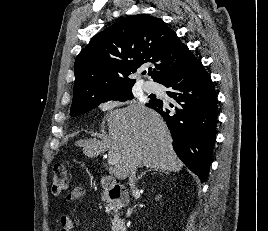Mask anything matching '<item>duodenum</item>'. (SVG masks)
Listing matches in <instances>:
<instances>
[{
    "mask_svg": "<svg viewBox=\"0 0 268 231\" xmlns=\"http://www.w3.org/2000/svg\"><path fill=\"white\" fill-rule=\"evenodd\" d=\"M101 187L106 191L109 201L116 209L119 205L128 203L129 195L127 190L116 182L111 176H103L100 180ZM112 231H126L125 220L115 213L112 223Z\"/></svg>",
    "mask_w": 268,
    "mask_h": 231,
    "instance_id": "410a0bca",
    "label": "duodenum"
}]
</instances>
